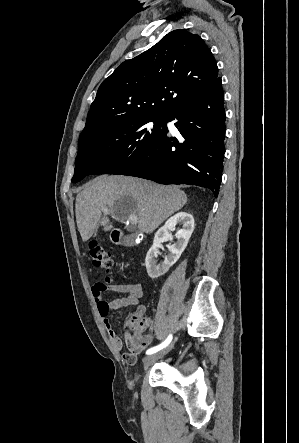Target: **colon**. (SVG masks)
Wrapping results in <instances>:
<instances>
[{
	"label": "colon",
	"instance_id": "obj_1",
	"mask_svg": "<svg viewBox=\"0 0 299 443\" xmlns=\"http://www.w3.org/2000/svg\"><path fill=\"white\" fill-rule=\"evenodd\" d=\"M89 255L93 264L105 271H110L113 265L110 254L96 241H90L88 244ZM129 325L132 329H136L135 336L142 335L141 333L148 326V320L143 317L142 313L136 311L129 319ZM134 336V337H135Z\"/></svg>",
	"mask_w": 299,
	"mask_h": 443
}]
</instances>
